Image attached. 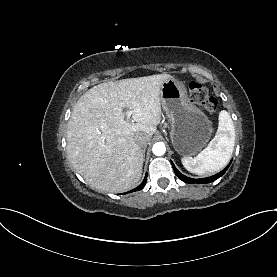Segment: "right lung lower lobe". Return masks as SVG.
<instances>
[{"label":"right lung lower lobe","instance_id":"1","mask_svg":"<svg viewBox=\"0 0 277 277\" xmlns=\"http://www.w3.org/2000/svg\"><path fill=\"white\" fill-rule=\"evenodd\" d=\"M146 179H147V175L145 176L143 182L138 187H136L135 189H133V190H131L129 192H134V191H137V190H141L145 186V184H146Z\"/></svg>","mask_w":277,"mask_h":277}]
</instances>
